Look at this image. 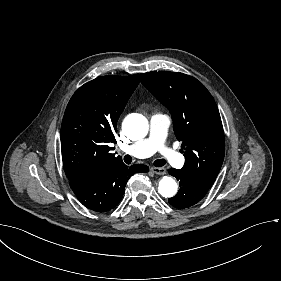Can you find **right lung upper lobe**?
Here are the masks:
<instances>
[{"instance_id":"obj_1","label":"right lung upper lobe","mask_w":281,"mask_h":281,"mask_svg":"<svg viewBox=\"0 0 281 281\" xmlns=\"http://www.w3.org/2000/svg\"><path fill=\"white\" fill-rule=\"evenodd\" d=\"M139 75L102 76L81 86L70 99L61 126L63 166L70 183L85 181L118 165L108 145Z\"/></svg>"}]
</instances>
